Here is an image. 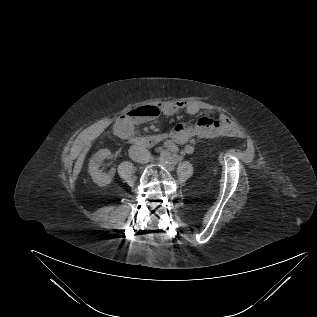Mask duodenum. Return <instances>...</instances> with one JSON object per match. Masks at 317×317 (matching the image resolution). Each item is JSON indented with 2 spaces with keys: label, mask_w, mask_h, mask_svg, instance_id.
I'll return each instance as SVG.
<instances>
[{
  "label": "duodenum",
  "mask_w": 317,
  "mask_h": 317,
  "mask_svg": "<svg viewBox=\"0 0 317 317\" xmlns=\"http://www.w3.org/2000/svg\"><path fill=\"white\" fill-rule=\"evenodd\" d=\"M123 120H128V118L125 117ZM117 132L129 139L134 146L153 147L158 145L166 138L165 134H154L146 137H137L126 133H121L118 129Z\"/></svg>",
  "instance_id": "obj_1"
}]
</instances>
